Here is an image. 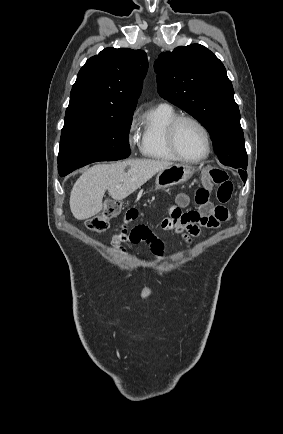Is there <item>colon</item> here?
I'll return each instance as SVG.
<instances>
[{
	"instance_id": "5ec220e1",
	"label": "colon",
	"mask_w": 283,
	"mask_h": 434,
	"mask_svg": "<svg viewBox=\"0 0 283 434\" xmlns=\"http://www.w3.org/2000/svg\"><path fill=\"white\" fill-rule=\"evenodd\" d=\"M203 179L206 185L216 186V197L220 203L229 202L233 193V183L225 170L218 167L207 168L203 173ZM120 210L121 205L119 202H108L104 212L93 216L87 221L88 229L97 233L107 230L110 220L117 216Z\"/></svg>"
}]
</instances>
